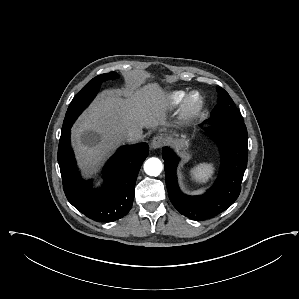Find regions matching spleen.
I'll return each instance as SVG.
<instances>
[{
    "mask_svg": "<svg viewBox=\"0 0 299 299\" xmlns=\"http://www.w3.org/2000/svg\"><path fill=\"white\" fill-rule=\"evenodd\" d=\"M214 173V166L212 163H200L196 165L192 170V177L199 182H208Z\"/></svg>",
    "mask_w": 299,
    "mask_h": 299,
    "instance_id": "1",
    "label": "spleen"
}]
</instances>
